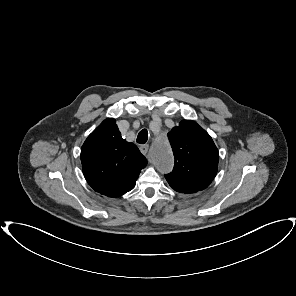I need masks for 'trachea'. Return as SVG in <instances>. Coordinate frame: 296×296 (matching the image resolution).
Masks as SVG:
<instances>
[{
    "mask_svg": "<svg viewBox=\"0 0 296 296\" xmlns=\"http://www.w3.org/2000/svg\"><path fill=\"white\" fill-rule=\"evenodd\" d=\"M147 140H148V131L146 129H143L139 132L136 141L139 144H145Z\"/></svg>",
    "mask_w": 296,
    "mask_h": 296,
    "instance_id": "1",
    "label": "trachea"
}]
</instances>
